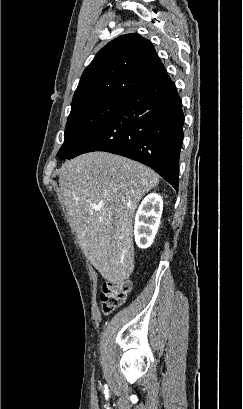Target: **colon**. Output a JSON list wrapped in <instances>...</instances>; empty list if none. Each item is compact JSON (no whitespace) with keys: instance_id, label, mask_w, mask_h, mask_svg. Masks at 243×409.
<instances>
[{"instance_id":"5ec220e1","label":"colon","mask_w":243,"mask_h":409,"mask_svg":"<svg viewBox=\"0 0 243 409\" xmlns=\"http://www.w3.org/2000/svg\"><path fill=\"white\" fill-rule=\"evenodd\" d=\"M131 290L128 280H111L103 284L100 294L101 310L109 314L121 306Z\"/></svg>"}]
</instances>
